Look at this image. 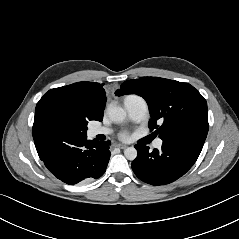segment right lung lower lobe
Instances as JSON below:
<instances>
[{"label":"right lung lower lobe","instance_id":"1","mask_svg":"<svg viewBox=\"0 0 239 239\" xmlns=\"http://www.w3.org/2000/svg\"><path fill=\"white\" fill-rule=\"evenodd\" d=\"M109 143L71 136L37 150L48 170L61 181L74 185L101 177L110 159Z\"/></svg>","mask_w":239,"mask_h":239}]
</instances>
